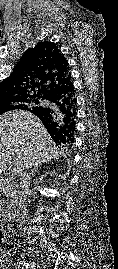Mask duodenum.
Listing matches in <instances>:
<instances>
[{"instance_id":"obj_1","label":"duodenum","mask_w":118,"mask_h":269,"mask_svg":"<svg viewBox=\"0 0 118 269\" xmlns=\"http://www.w3.org/2000/svg\"><path fill=\"white\" fill-rule=\"evenodd\" d=\"M15 210L16 205L15 204L10 205L4 213L0 214V219H2L5 222H9L13 218Z\"/></svg>"}]
</instances>
